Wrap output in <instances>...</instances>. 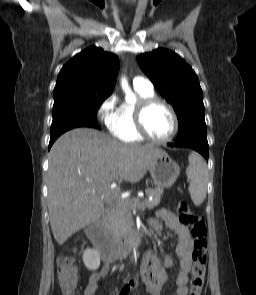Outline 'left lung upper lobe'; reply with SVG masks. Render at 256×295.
Masks as SVG:
<instances>
[{"instance_id":"5c2ea615","label":"left lung upper lobe","mask_w":256,"mask_h":295,"mask_svg":"<svg viewBox=\"0 0 256 295\" xmlns=\"http://www.w3.org/2000/svg\"><path fill=\"white\" fill-rule=\"evenodd\" d=\"M140 68L173 105L179 122L176 141L206 136L203 93L192 68L176 53L156 49L137 56Z\"/></svg>"}]
</instances>
